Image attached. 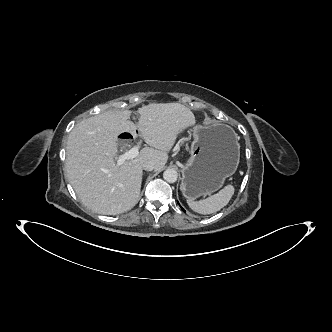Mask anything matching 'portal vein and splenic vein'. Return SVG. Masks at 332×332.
I'll return each instance as SVG.
<instances>
[{
	"mask_svg": "<svg viewBox=\"0 0 332 332\" xmlns=\"http://www.w3.org/2000/svg\"><path fill=\"white\" fill-rule=\"evenodd\" d=\"M140 145L133 146L130 150L117 156V164L122 165L126 160L135 158L139 154Z\"/></svg>",
	"mask_w": 332,
	"mask_h": 332,
	"instance_id": "portal-vein-and-splenic-vein-1",
	"label": "portal vein and splenic vein"
}]
</instances>
